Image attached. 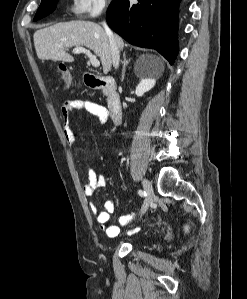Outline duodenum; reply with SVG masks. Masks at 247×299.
<instances>
[{"instance_id": "410a0bca", "label": "duodenum", "mask_w": 247, "mask_h": 299, "mask_svg": "<svg viewBox=\"0 0 247 299\" xmlns=\"http://www.w3.org/2000/svg\"><path fill=\"white\" fill-rule=\"evenodd\" d=\"M86 85L91 89H101L106 92L111 119L118 124L122 118V103L115 90V81L110 77L87 73L84 77Z\"/></svg>"}]
</instances>
